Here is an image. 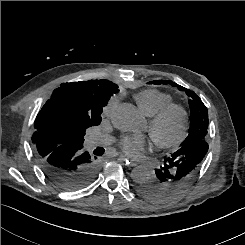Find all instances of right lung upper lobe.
<instances>
[{"label": "right lung upper lobe", "instance_id": "obj_1", "mask_svg": "<svg viewBox=\"0 0 245 245\" xmlns=\"http://www.w3.org/2000/svg\"><path fill=\"white\" fill-rule=\"evenodd\" d=\"M118 91V86L108 80L61 84L35 119L32 141L36 149L46 143L52 148L83 143L86 129L101 118L103 107Z\"/></svg>", "mask_w": 245, "mask_h": 245}]
</instances>
